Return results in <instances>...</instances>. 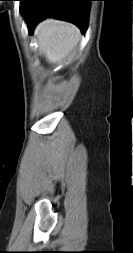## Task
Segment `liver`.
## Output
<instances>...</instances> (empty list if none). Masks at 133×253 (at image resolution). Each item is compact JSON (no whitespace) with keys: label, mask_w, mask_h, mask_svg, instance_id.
Returning a JSON list of instances; mask_svg holds the SVG:
<instances>
[{"label":"liver","mask_w":133,"mask_h":253,"mask_svg":"<svg viewBox=\"0 0 133 253\" xmlns=\"http://www.w3.org/2000/svg\"><path fill=\"white\" fill-rule=\"evenodd\" d=\"M39 48L50 64H59L71 58L80 38V30L73 24L46 19L35 29Z\"/></svg>","instance_id":"1"}]
</instances>
